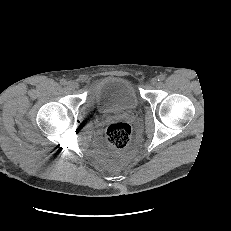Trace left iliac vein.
Returning a JSON list of instances; mask_svg holds the SVG:
<instances>
[{
    "label": "left iliac vein",
    "instance_id": "4c4485c4",
    "mask_svg": "<svg viewBox=\"0 0 231 231\" xmlns=\"http://www.w3.org/2000/svg\"><path fill=\"white\" fill-rule=\"evenodd\" d=\"M150 84L153 85V86L157 85L158 84V78H152L150 80Z\"/></svg>",
    "mask_w": 231,
    "mask_h": 231
}]
</instances>
